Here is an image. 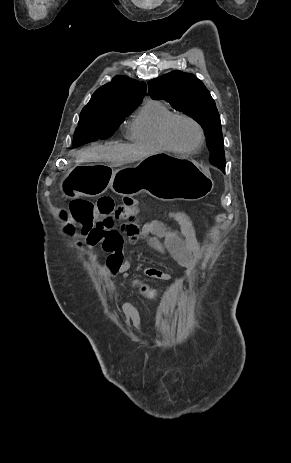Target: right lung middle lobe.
Instances as JSON below:
<instances>
[{"label":"right lung middle lobe","mask_w":291,"mask_h":463,"mask_svg":"<svg viewBox=\"0 0 291 463\" xmlns=\"http://www.w3.org/2000/svg\"><path fill=\"white\" fill-rule=\"evenodd\" d=\"M138 104L128 107L102 106L83 109L75 130L72 148L111 136L127 114Z\"/></svg>","instance_id":"dd1d6c3e"}]
</instances>
